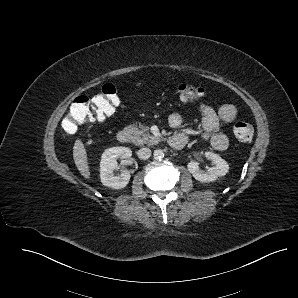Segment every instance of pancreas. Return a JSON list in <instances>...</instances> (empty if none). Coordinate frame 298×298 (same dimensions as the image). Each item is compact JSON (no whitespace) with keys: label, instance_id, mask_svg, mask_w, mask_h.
I'll return each mask as SVG.
<instances>
[{"label":"pancreas","instance_id":"pancreas-1","mask_svg":"<svg viewBox=\"0 0 298 298\" xmlns=\"http://www.w3.org/2000/svg\"><path fill=\"white\" fill-rule=\"evenodd\" d=\"M132 130L134 136L133 143L136 145L147 144L148 146L156 145L161 140L160 137L150 135L149 127L140 125L139 128L130 125L128 126Z\"/></svg>","mask_w":298,"mask_h":298}]
</instances>
